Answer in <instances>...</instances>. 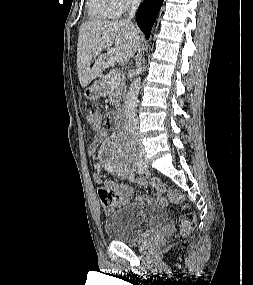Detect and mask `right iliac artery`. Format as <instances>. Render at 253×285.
<instances>
[{"instance_id": "right-iliac-artery-1", "label": "right iliac artery", "mask_w": 253, "mask_h": 285, "mask_svg": "<svg viewBox=\"0 0 253 285\" xmlns=\"http://www.w3.org/2000/svg\"><path fill=\"white\" fill-rule=\"evenodd\" d=\"M128 180L130 182H134L135 180V174L133 172L129 173V175L127 176Z\"/></svg>"}]
</instances>
